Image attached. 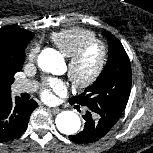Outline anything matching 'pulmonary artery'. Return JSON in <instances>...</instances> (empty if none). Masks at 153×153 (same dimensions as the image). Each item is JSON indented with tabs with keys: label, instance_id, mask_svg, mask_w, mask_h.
<instances>
[{
	"label": "pulmonary artery",
	"instance_id": "pulmonary-artery-1",
	"mask_svg": "<svg viewBox=\"0 0 153 153\" xmlns=\"http://www.w3.org/2000/svg\"><path fill=\"white\" fill-rule=\"evenodd\" d=\"M36 89V85L32 81H18L14 84L13 90L15 93L32 92Z\"/></svg>",
	"mask_w": 153,
	"mask_h": 153
}]
</instances>
